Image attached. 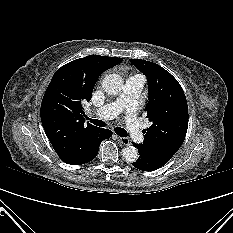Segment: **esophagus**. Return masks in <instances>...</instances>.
<instances>
[{"mask_svg": "<svg viewBox=\"0 0 233 233\" xmlns=\"http://www.w3.org/2000/svg\"><path fill=\"white\" fill-rule=\"evenodd\" d=\"M118 140L123 145H130V139L127 137H118Z\"/></svg>", "mask_w": 233, "mask_h": 233, "instance_id": "34e87169", "label": "esophagus"}]
</instances>
